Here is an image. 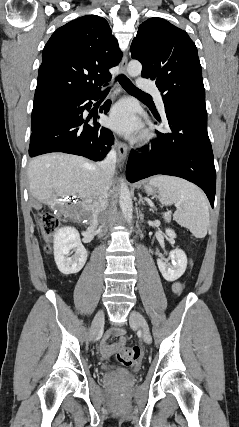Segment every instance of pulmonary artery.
<instances>
[{
  "label": "pulmonary artery",
  "mask_w": 239,
  "mask_h": 427,
  "mask_svg": "<svg viewBox=\"0 0 239 427\" xmlns=\"http://www.w3.org/2000/svg\"><path fill=\"white\" fill-rule=\"evenodd\" d=\"M138 87L143 91L152 93L156 97L158 108L161 110V112H164V103L160 96L159 90L154 83L141 79L139 80Z\"/></svg>",
  "instance_id": "e3ab8cb5"
}]
</instances>
